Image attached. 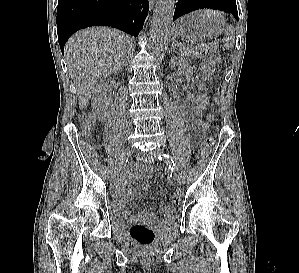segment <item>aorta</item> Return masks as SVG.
I'll return each mask as SVG.
<instances>
[{
	"instance_id": "obj_1",
	"label": "aorta",
	"mask_w": 299,
	"mask_h": 273,
	"mask_svg": "<svg viewBox=\"0 0 299 273\" xmlns=\"http://www.w3.org/2000/svg\"><path fill=\"white\" fill-rule=\"evenodd\" d=\"M175 9L174 0H158L151 20V52L159 54L166 44Z\"/></svg>"
}]
</instances>
